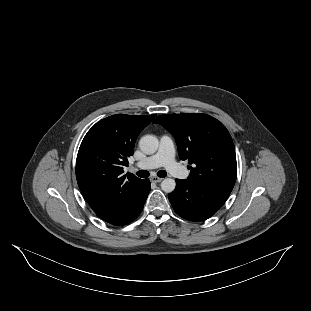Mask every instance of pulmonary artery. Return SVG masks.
Returning <instances> with one entry per match:
<instances>
[{
  "label": "pulmonary artery",
  "instance_id": "e3ab8cb5",
  "mask_svg": "<svg viewBox=\"0 0 311 311\" xmlns=\"http://www.w3.org/2000/svg\"><path fill=\"white\" fill-rule=\"evenodd\" d=\"M136 167L143 170L164 167L171 174H176L181 169V165L175 161V147L172 138L168 135L161 136L157 153L136 163Z\"/></svg>",
  "mask_w": 311,
  "mask_h": 311
}]
</instances>
